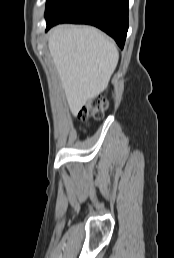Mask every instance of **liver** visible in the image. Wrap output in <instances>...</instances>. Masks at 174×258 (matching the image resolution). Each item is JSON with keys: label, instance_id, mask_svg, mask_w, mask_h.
I'll use <instances>...</instances> for the list:
<instances>
[{"label": "liver", "instance_id": "obj_1", "mask_svg": "<svg viewBox=\"0 0 174 258\" xmlns=\"http://www.w3.org/2000/svg\"><path fill=\"white\" fill-rule=\"evenodd\" d=\"M48 47L72 114L108 86L119 59L115 43L91 26L59 25Z\"/></svg>", "mask_w": 174, "mask_h": 258}]
</instances>
